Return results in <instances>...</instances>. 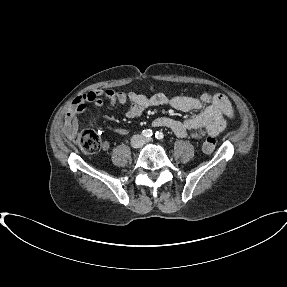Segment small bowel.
<instances>
[{
	"label": "small bowel",
	"mask_w": 287,
	"mask_h": 287,
	"mask_svg": "<svg viewBox=\"0 0 287 287\" xmlns=\"http://www.w3.org/2000/svg\"><path fill=\"white\" fill-rule=\"evenodd\" d=\"M103 99H107L112 106L127 105L126 116L129 119L139 117L149 107L165 104L184 112L201 110L196 116L183 122L170 117H158L153 122L154 126L168 128L178 137H191L196 140L220 134L225 129L228 119L234 114L230 101L222 94H181L167 97L162 93L146 96L135 92L97 90L77 96L73 100L72 106L65 115L62 128L64 135L69 138L74 137L79 129V116L87 112L88 104L101 107ZM113 129L119 134L128 133V129L123 127H113ZM102 147L107 150L109 144L104 143Z\"/></svg>",
	"instance_id": "obj_1"
}]
</instances>
